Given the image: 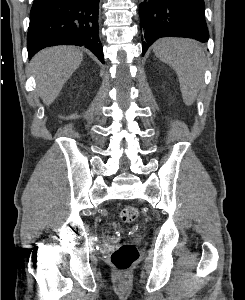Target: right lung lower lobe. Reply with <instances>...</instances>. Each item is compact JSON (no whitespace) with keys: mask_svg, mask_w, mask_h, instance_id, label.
I'll use <instances>...</instances> for the list:
<instances>
[{"mask_svg":"<svg viewBox=\"0 0 245 300\" xmlns=\"http://www.w3.org/2000/svg\"><path fill=\"white\" fill-rule=\"evenodd\" d=\"M99 0H34L27 34L29 56L54 45L84 46L104 63L98 37Z\"/></svg>","mask_w":245,"mask_h":300,"instance_id":"obj_1","label":"right lung lower lobe"}]
</instances>
